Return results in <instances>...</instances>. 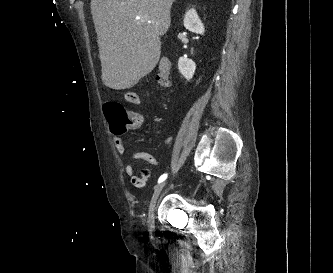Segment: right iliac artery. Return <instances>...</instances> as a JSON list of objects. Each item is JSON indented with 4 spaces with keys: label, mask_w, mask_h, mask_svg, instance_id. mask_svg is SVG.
Returning <instances> with one entry per match:
<instances>
[{
    "label": "right iliac artery",
    "mask_w": 333,
    "mask_h": 273,
    "mask_svg": "<svg viewBox=\"0 0 333 273\" xmlns=\"http://www.w3.org/2000/svg\"><path fill=\"white\" fill-rule=\"evenodd\" d=\"M166 178H167V174L161 175L160 178H159V180H158V183L163 182Z\"/></svg>",
    "instance_id": "obj_1"
}]
</instances>
